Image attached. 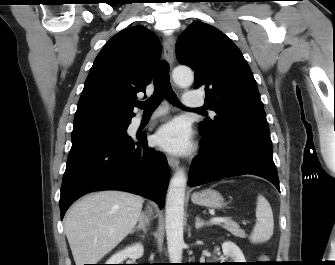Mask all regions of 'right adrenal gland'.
<instances>
[{
    "label": "right adrenal gland",
    "mask_w": 335,
    "mask_h": 265,
    "mask_svg": "<svg viewBox=\"0 0 335 265\" xmlns=\"http://www.w3.org/2000/svg\"><path fill=\"white\" fill-rule=\"evenodd\" d=\"M149 225V220L147 218V216L144 213L140 214L139 217V223L138 225L131 231V233H134L136 231L142 230L144 232V234L147 233V226Z\"/></svg>",
    "instance_id": "2a0ac1e0"
}]
</instances>
